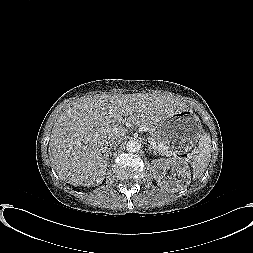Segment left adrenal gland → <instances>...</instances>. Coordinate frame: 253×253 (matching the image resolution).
<instances>
[{"instance_id":"left-adrenal-gland-1","label":"left adrenal gland","mask_w":253,"mask_h":253,"mask_svg":"<svg viewBox=\"0 0 253 253\" xmlns=\"http://www.w3.org/2000/svg\"><path fill=\"white\" fill-rule=\"evenodd\" d=\"M148 148H149L150 153H153L154 155H157L156 150L152 146H149Z\"/></svg>"}]
</instances>
